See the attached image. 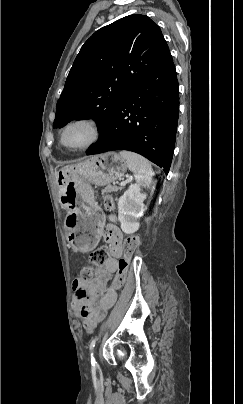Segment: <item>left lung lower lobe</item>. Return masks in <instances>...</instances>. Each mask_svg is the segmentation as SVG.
<instances>
[{
    "label": "left lung lower lobe",
    "instance_id": "obj_1",
    "mask_svg": "<svg viewBox=\"0 0 243 404\" xmlns=\"http://www.w3.org/2000/svg\"><path fill=\"white\" fill-rule=\"evenodd\" d=\"M179 87L171 54L126 96L87 155L111 150L139 153L167 174L174 152Z\"/></svg>",
    "mask_w": 243,
    "mask_h": 404
}]
</instances>
